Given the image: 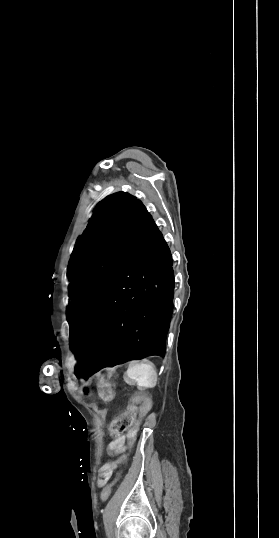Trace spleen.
Masks as SVG:
<instances>
[{"instance_id":"3e777b00","label":"spleen","mask_w":279,"mask_h":538,"mask_svg":"<svg viewBox=\"0 0 279 538\" xmlns=\"http://www.w3.org/2000/svg\"><path fill=\"white\" fill-rule=\"evenodd\" d=\"M127 375L129 379H134L138 381L137 386L139 388H154L157 382V374L154 368V364H133L129 368ZM142 378V380H139ZM142 392H145V389H142Z\"/></svg>"}]
</instances>
